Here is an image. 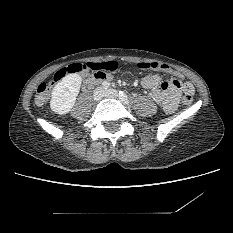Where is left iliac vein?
I'll return each mask as SVG.
<instances>
[{
    "label": "left iliac vein",
    "mask_w": 233,
    "mask_h": 233,
    "mask_svg": "<svg viewBox=\"0 0 233 233\" xmlns=\"http://www.w3.org/2000/svg\"><path fill=\"white\" fill-rule=\"evenodd\" d=\"M105 96L116 98L118 96V92L114 89H109L105 92Z\"/></svg>",
    "instance_id": "1"
}]
</instances>
